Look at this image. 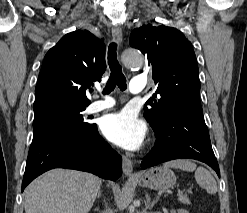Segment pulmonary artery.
<instances>
[{
  "label": "pulmonary artery",
  "instance_id": "e3ab8cb5",
  "mask_svg": "<svg viewBox=\"0 0 247 213\" xmlns=\"http://www.w3.org/2000/svg\"><path fill=\"white\" fill-rule=\"evenodd\" d=\"M146 83H147L146 77H135L131 80L130 91L132 93H141L145 90ZM114 105H115V100L109 96H106L104 99L92 102L88 106V111L90 113H96L109 109Z\"/></svg>",
  "mask_w": 247,
  "mask_h": 213
}]
</instances>
